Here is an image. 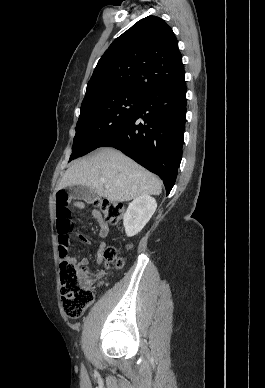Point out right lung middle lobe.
<instances>
[{
	"mask_svg": "<svg viewBox=\"0 0 265 388\" xmlns=\"http://www.w3.org/2000/svg\"><path fill=\"white\" fill-rule=\"evenodd\" d=\"M142 98V95L110 90L86 96L81 104L69 161L96 149L137 110Z\"/></svg>",
	"mask_w": 265,
	"mask_h": 388,
	"instance_id": "1",
	"label": "right lung middle lobe"
}]
</instances>
